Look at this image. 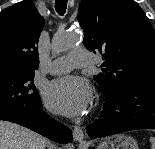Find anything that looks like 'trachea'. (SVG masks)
Masks as SVG:
<instances>
[{
  "mask_svg": "<svg viewBox=\"0 0 155 149\" xmlns=\"http://www.w3.org/2000/svg\"><path fill=\"white\" fill-rule=\"evenodd\" d=\"M68 0H55V9L59 15H63L66 11Z\"/></svg>",
  "mask_w": 155,
  "mask_h": 149,
  "instance_id": "3493384b",
  "label": "trachea"
}]
</instances>
